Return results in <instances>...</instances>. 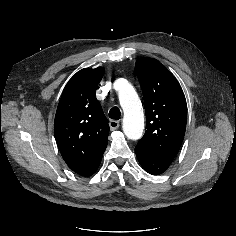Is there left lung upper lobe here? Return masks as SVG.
<instances>
[{
	"label": "left lung upper lobe",
	"mask_w": 236,
	"mask_h": 236,
	"mask_svg": "<svg viewBox=\"0 0 236 236\" xmlns=\"http://www.w3.org/2000/svg\"><path fill=\"white\" fill-rule=\"evenodd\" d=\"M135 69L144 97L147 129L135 148L172 162L186 130L185 96L176 78L158 60L141 58Z\"/></svg>",
	"instance_id": "1"
}]
</instances>
